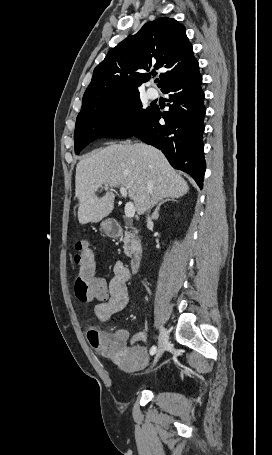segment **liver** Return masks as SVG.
<instances>
[{"label":"liver","instance_id":"1","mask_svg":"<svg viewBox=\"0 0 272 455\" xmlns=\"http://www.w3.org/2000/svg\"><path fill=\"white\" fill-rule=\"evenodd\" d=\"M109 186L103 197L96 191ZM107 186V187H108ZM123 186L142 215L163 198H179L189 191L187 182L158 149L143 143H109L86 155L76 167L75 197L80 224L99 222L114 208L112 188Z\"/></svg>","mask_w":272,"mask_h":455}]
</instances>
